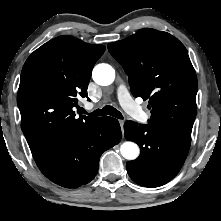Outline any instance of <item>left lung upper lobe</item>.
Listing matches in <instances>:
<instances>
[{
	"label": "left lung upper lobe",
	"instance_id": "left-lung-upper-lobe-1",
	"mask_svg": "<svg viewBox=\"0 0 221 221\" xmlns=\"http://www.w3.org/2000/svg\"><path fill=\"white\" fill-rule=\"evenodd\" d=\"M108 49L128 75L132 94L149 99V124L191 140L198 85L184 45L169 33L145 28Z\"/></svg>",
	"mask_w": 221,
	"mask_h": 221
}]
</instances>
